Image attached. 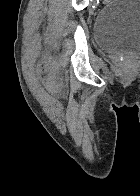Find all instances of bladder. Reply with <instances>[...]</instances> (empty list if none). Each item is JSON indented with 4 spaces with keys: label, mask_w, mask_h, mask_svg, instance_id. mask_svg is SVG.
<instances>
[{
    "label": "bladder",
    "mask_w": 140,
    "mask_h": 196,
    "mask_svg": "<svg viewBox=\"0 0 140 196\" xmlns=\"http://www.w3.org/2000/svg\"><path fill=\"white\" fill-rule=\"evenodd\" d=\"M96 45L108 52L140 54V0H113L97 14Z\"/></svg>",
    "instance_id": "1"
}]
</instances>
